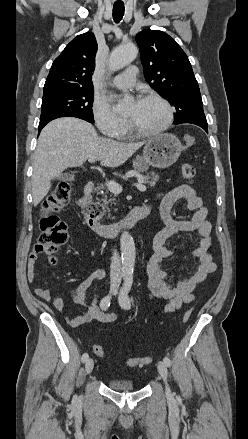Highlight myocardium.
Returning a JSON list of instances; mask_svg holds the SVG:
<instances>
[{
    "mask_svg": "<svg viewBox=\"0 0 248 439\" xmlns=\"http://www.w3.org/2000/svg\"><path fill=\"white\" fill-rule=\"evenodd\" d=\"M141 99L142 100H157L158 102H160L165 107V109L167 111L166 121L164 122L163 125H161L160 127L156 128V129L144 130V129H141L140 127H138L133 122V120L128 118V125H129L130 130L135 135L140 136V137L153 136V135H156V134H159V133H162V132H165L166 130H168L174 121V108L170 104V102L157 93L145 94Z\"/></svg>",
    "mask_w": 248,
    "mask_h": 439,
    "instance_id": "myocardium-1",
    "label": "myocardium"
}]
</instances>
